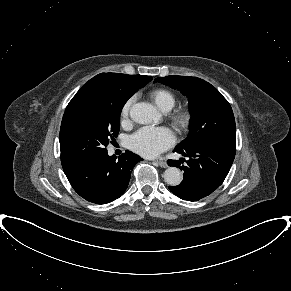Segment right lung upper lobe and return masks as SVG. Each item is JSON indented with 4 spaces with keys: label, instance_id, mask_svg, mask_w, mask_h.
Wrapping results in <instances>:
<instances>
[{
    "label": "right lung upper lobe",
    "instance_id": "cb5924a9",
    "mask_svg": "<svg viewBox=\"0 0 291 291\" xmlns=\"http://www.w3.org/2000/svg\"><path fill=\"white\" fill-rule=\"evenodd\" d=\"M152 80L151 76L126 75L121 73H101L90 79L73 98L79 97L92 89L108 88L118 90L127 97H131L140 88ZM128 98V99H129ZM69 171L65 172L68 173Z\"/></svg>",
    "mask_w": 291,
    "mask_h": 291
}]
</instances>
